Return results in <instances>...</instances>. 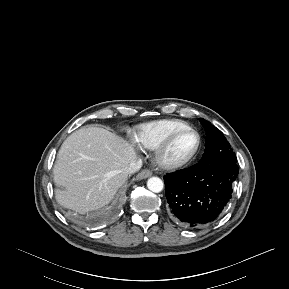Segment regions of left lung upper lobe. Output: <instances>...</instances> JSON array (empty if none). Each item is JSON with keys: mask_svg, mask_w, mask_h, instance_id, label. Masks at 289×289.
<instances>
[{"mask_svg": "<svg viewBox=\"0 0 289 289\" xmlns=\"http://www.w3.org/2000/svg\"><path fill=\"white\" fill-rule=\"evenodd\" d=\"M200 121L206 130V148L198 164L203 167L236 164L235 153L231 151L230 144L223 133L210 122L202 118H200Z\"/></svg>", "mask_w": 289, "mask_h": 289, "instance_id": "left-lung-upper-lobe-1", "label": "left lung upper lobe"}]
</instances>
